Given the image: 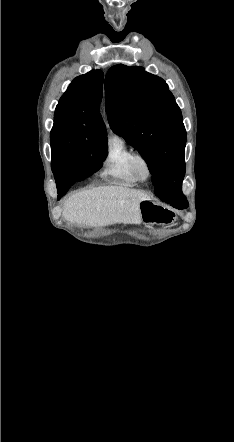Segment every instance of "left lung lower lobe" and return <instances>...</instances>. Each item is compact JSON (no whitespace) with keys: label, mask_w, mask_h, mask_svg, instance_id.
<instances>
[{"label":"left lung lower lobe","mask_w":234,"mask_h":442,"mask_svg":"<svg viewBox=\"0 0 234 442\" xmlns=\"http://www.w3.org/2000/svg\"><path fill=\"white\" fill-rule=\"evenodd\" d=\"M161 200H163L167 203H171V205L177 209H184V208H187V206H188V202L186 200V197L183 194L179 197H176V198H165V199H161Z\"/></svg>","instance_id":"obj_1"}]
</instances>
